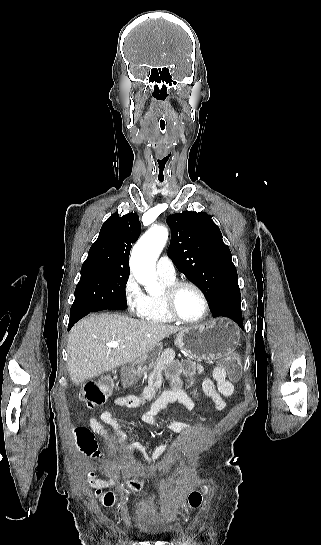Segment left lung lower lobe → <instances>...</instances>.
<instances>
[{
	"instance_id": "1",
	"label": "left lung lower lobe",
	"mask_w": 321,
	"mask_h": 545,
	"mask_svg": "<svg viewBox=\"0 0 321 545\" xmlns=\"http://www.w3.org/2000/svg\"><path fill=\"white\" fill-rule=\"evenodd\" d=\"M210 308L213 317H228L235 321L241 329H244L241 313V294L226 297L221 302Z\"/></svg>"
}]
</instances>
